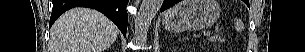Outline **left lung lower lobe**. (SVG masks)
<instances>
[{
	"label": "left lung lower lobe",
	"instance_id": "0a47b994",
	"mask_svg": "<svg viewBox=\"0 0 305 52\" xmlns=\"http://www.w3.org/2000/svg\"><path fill=\"white\" fill-rule=\"evenodd\" d=\"M177 2H179V0H164L160 11L163 12L164 10L170 8L171 6L176 4Z\"/></svg>",
	"mask_w": 305,
	"mask_h": 52
}]
</instances>
